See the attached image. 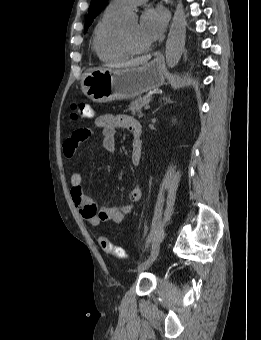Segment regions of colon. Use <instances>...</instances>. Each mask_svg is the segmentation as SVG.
I'll use <instances>...</instances> for the list:
<instances>
[{"label": "colon", "mask_w": 261, "mask_h": 340, "mask_svg": "<svg viewBox=\"0 0 261 340\" xmlns=\"http://www.w3.org/2000/svg\"><path fill=\"white\" fill-rule=\"evenodd\" d=\"M93 115V109L89 104L76 103L72 105L71 118L73 120H85L93 117ZM97 241L105 253L119 260L127 259V253L124 249L115 246L104 233L99 232L97 234Z\"/></svg>", "instance_id": "1"}]
</instances>
